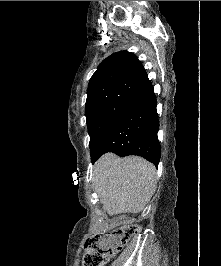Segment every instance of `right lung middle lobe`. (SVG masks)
<instances>
[{
	"label": "right lung middle lobe",
	"mask_w": 221,
	"mask_h": 266,
	"mask_svg": "<svg viewBox=\"0 0 221 266\" xmlns=\"http://www.w3.org/2000/svg\"><path fill=\"white\" fill-rule=\"evenodd\" d=\"M141 89L140 86L124 85L99 89L87 96L85 115L91 155Z\"/></svg>",
	"instance_id": "1"
}]
</instances>
